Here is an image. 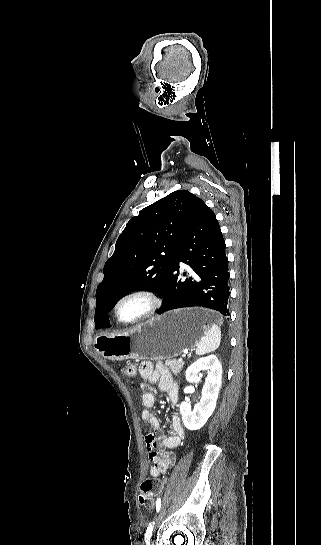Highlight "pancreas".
I'll return each mask as SVG.
<instances>
[{
	"instance_id": "cf45deb5",
	"label": "pancreas",
	"mask_w": 321,
	"mask_h": 545,
	"mask_svg": "<svg viewBox=\"0 0 321 545\" xmlns=\"http://www.w3.org/2000/svg\"><path fill=\"white\" fill-rule=\"evenodd\" d=\"M165 367H169L174 375H179L180 371H182L183 363H180L177 359H169V361H165Z\"/></svg>"
}]
</instances>
